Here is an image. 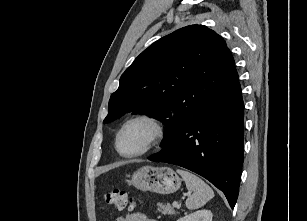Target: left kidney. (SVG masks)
<instances>
[{
  "label": "left kidney",
  "mask_w": 307,
  "mask_h": 221,
  "mask_svg": "<svg viewBox=\"0 0 307 221\" xmlns=\"http://www.w3.org/2000/svg\"><path fill=\"white\" fill-rule=\"evenodd\" d=\"M177 221H212V212L209 210H198L185 215Z\"/></svg>",
  "instance_id": "obj_1"
}]
</instances>
